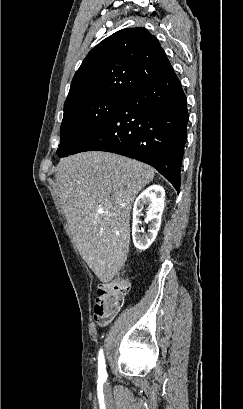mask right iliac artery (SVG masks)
Wrapping results in <instances>:
<instances>
[{
  "label": "right iliac artery",
  "mask_w": 243,
  "mask_h": 409,
  "mask_svg": "<svg viewBox=\"0 0 243 409\" xmlns=\"http://www.w3.org/2000/svg\"><path fill=\"white\" fill-rule=\"evenodd\" d=\"M98 374H99L100 380L102 381L106 380L107 378L106 365H105V358H104L102 349H100L99 356H98Z\"/></svg>",
  "instance_id": "obj_1"
}]
</instances>
